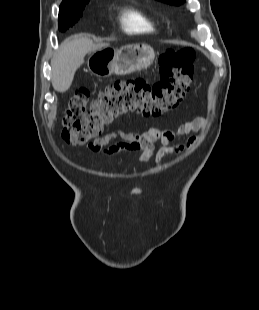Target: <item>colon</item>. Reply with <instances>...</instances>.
I'll list each match as a JSON object with an SVG mask.
<instances>
[{"label": "colon", "instance_id": "5ec220e1", "mask_svg": "<svg viewBox=\"0 0 259 310\" xmlns=\"http://www.w3.org/2000/svg\"><path fill=\"white\" fill-rule=\"evenodd\" d=\"M194 59L191 48L167 49L159 58V81L153 84L142 78L115 81L89 106L90 90L78 89L69 99L62 118L63 139L72 145H84L100 136L104 127L122 114L160 116L176 109L190 90Z\"/></svg>", "mask_w": 259, "mask_h": 310}]
</instances>
